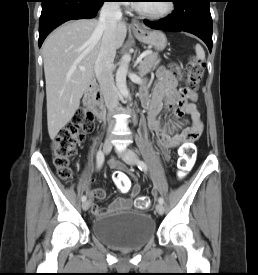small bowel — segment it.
Here are the masks:
<instances>
[{
	"mask_svg": "<svg viewBox=\"0 0 258 275\" xmlns=\"http://www.w3.org/2000/svg\"><path fill=\"white\" fill-rule=\"evenodd\" d=\"M157 83L152 96L148 97L145 92L142 95L144 106L148 110V128L155 141L158 150L166 160L170 159L171 149L186 143H192L201 134L203 122L200 114L193 103L195 94L177 88V80L171 71L164 67L157 70ZM188 114L191 117V126L185 127V122L180 118ZM165 115L164 121L160 117ZM112 167L118 170H126L125 166L112 161ZM140 192V184L136 182L131 189L129 198H117L106 209L98 206L97 201L106 197L103 188L89 191L92 203V213L103 216L119 210L130 209Z\"/></svg>",
	"mask_w": 258,
	"mask_h": 275,
	"instance_id": "c3829d8e",
	"label": "small bowel"
}]
</instances>
